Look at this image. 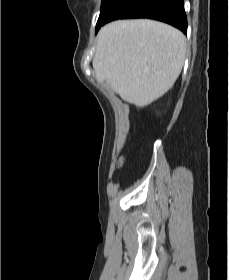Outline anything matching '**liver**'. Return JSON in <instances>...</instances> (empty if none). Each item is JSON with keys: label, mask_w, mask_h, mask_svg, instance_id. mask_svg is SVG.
Listing matches in <instances>:
<instances>
[{"label": "liver", "mask_w": 229, "mask_h": 280, "mask_svg": "<svg viewBox=\"0 0 229 280\" xmlns=\"http://www.w3.org/2000/svg\"><path fill=\"white\" fill-rule=\"evenodd\" d=\"M186 39L174 27L147 19L119 20L101 28L93 69L120 97L144 107L164 95L181 73Z\"/></svg>", "instance_id": "obj_1"}]
</instances>
